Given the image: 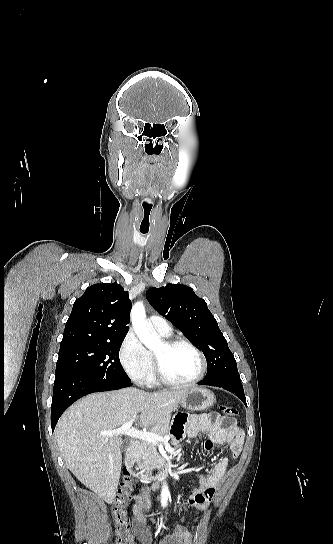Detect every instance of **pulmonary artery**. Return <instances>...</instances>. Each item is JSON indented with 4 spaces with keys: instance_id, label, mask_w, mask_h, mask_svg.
Wrapping results in <instances>:
<instances>
[{
    "instance_id": "e3ab8cb5",
    "label": "pulmonary artery",
    "mask_w": 333,
    "mask_h": 544,
    "mask_svg": "<svg viewBox=\"0 0 333 544\" xmlns=\"http://www.w3.org/2000/svg\"><path fill=\"white\" fill-rule=\"evenodd\" d=\"M148 322L161 335L169 336L171 334V327L163 317L152 315L149 317Z\"/></svg>"
}]
</instances>
